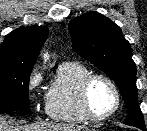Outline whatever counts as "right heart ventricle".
Here are the masks:
<instances>
[{
	"mask_svg": "<svg viewBox=\"0 0 147 131\" xmlns=\"http://www.w3.org/2000/svg\"><path fill=\"white\" fill-rule=\"evenodd\" d=\"M90 73L79 62H67L59 66L47 93L48 115L53 121L76 124L88 120L80 107L79 88Z\"/></svg>",
	"mask_w": 147,
	"mask_h": 131,
	"instance_id": "1",
	"label": "right heart ventricle"
}]
</instances>
